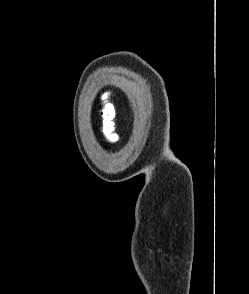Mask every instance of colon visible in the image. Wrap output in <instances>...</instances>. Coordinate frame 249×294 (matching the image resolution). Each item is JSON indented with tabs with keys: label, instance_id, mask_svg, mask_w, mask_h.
I'll return each instance as SVG.
<instances>
[{
	"label": "colon",
	"instance_id": "colon-1",
	"mask_svg": "<svg viewBox=\"0 0 249 294\" xmlns=\"http://www.w3.org/2000/svg\"><path fill=\"white\" fill-rule=\"evenodd\" d=\"M101 109L100 116L102 120V132L110 140L114 141L113 125H114V109L109 101V93H104L100 98Z\"/></svg>",
	"mask_w": 249,
	"mask_h": 294
}]
</instances>
